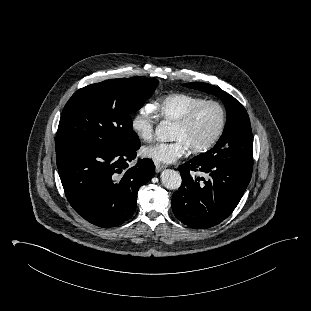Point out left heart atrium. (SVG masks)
<instances>
[{
    "mask_svg": "<svg viewBox=\"0 0 311 311\" xmlns=\"http://www.w3.org/2000/svg\"><path fill=\"white\" fill-rule=\"evenodd\" d=\"M189 146L182 140L172 142H157L142 149L144 157L158 163H173L189 150Z\"/></svg>",
    "mask_w": 311,
    "mask_h": 311,
    "instance_id": "1",
    "label": "left heart atrium"
}]
</instances>
